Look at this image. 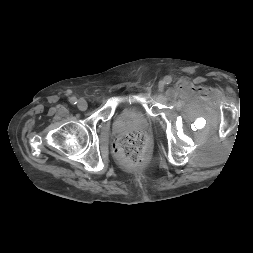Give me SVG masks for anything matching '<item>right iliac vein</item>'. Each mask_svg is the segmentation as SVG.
Instances as JSON below:
<instances>
[{"label":"right iliac vein","instance_id":"right-iliac-vein-1","mask_svg":"<svg viewBox=\"0 0 253 253\" xmlns=\"http://www.w3.org/2000/svg\"><path fill=\"white\" fill-rule=\"evenodd\" d=\"M78 108L81 110V111H85L88 107V104L87 102L84 100V99H80L78 101V104H77Z\"/></svg>","mask_w":253,"mask_h":253}]
</instances>
